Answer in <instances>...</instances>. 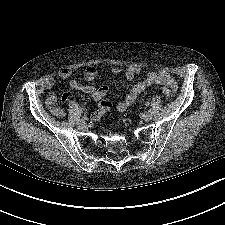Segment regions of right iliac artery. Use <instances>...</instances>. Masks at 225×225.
Here are the masks:
<instances>
[{"label":"right iliac artery","instance_id":"right-iliac-artery-1","mask_svg":"<svg viewBox=\"0 0 225 225\" xmlns=\"http://www.w3.org/2000/svg\"><path fill=\"white\" fill-rule=\"evenodd\" d=\"M87 119L86 116L83 117V119H79L78 121H85Z\"/></svg>","mask_w":225,"mask_h":225}]
</instances>
